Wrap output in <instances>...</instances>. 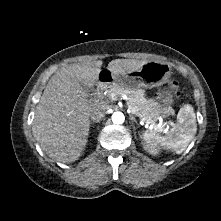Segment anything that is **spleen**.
<instances>
[{
  "instance_id": "spleen-1",
  "label": "spleen",
  "mask_w": 221,
  "mask_h": 221,
  "mask_svg": "<svg viewBox=\"0 0 221 221\" xmlns=\"http://www.w3.org/2000/svg\"><path fill=\"white\" fill-rule=\"evenodd\" d=\"M178 124L167 135L162 136L155 130L145 131L143 139L153 148L159 147L172 150L177 154L182 153L197 131L196 116L191 105L182 107L177 115Z\"/></svg>"
}]
</instances>
